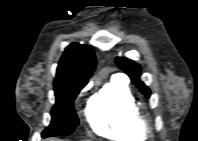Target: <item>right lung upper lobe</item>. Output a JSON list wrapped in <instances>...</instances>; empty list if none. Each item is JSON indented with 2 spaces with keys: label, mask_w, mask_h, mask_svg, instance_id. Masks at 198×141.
Listing matches in <instances>:
<instances>
[{
  "label": "right lung upper lobe",
  "mask_w": 198,
  "mask_h": 141,
  "mask_svg": "<svg viewBox=\"0 0 198 141\" xmlns=\"http://www.w3.org/2000/svg\"><path fill=\"white\" fill-rule=\"evenodd\" d=\"M95 66L93 47L72 43L60 59L54 84L87 83Z\"/></svg>",
  "instance_id": "right-lung-upper-lobe-1"
}]
</instances>
